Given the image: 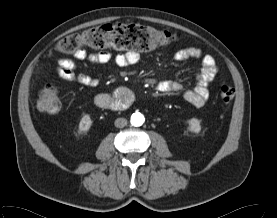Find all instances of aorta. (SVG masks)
<instances>
[{
    "label": "aorta",
    "instance_id": "aorta-1",
    "mask_svg": "<svg viewBox=\"0 0 277 218\" xmlns=\"http://www.w3.org/2000/svg\"><path fill=\"white\" fill-rule=\"evenodd\" d=\"M144 120V116L141 113L136 112L132 114L130 122L133 126H141L144 123Z\"/></svg>",
    "mask_w": 277,
    "mask_h": 218
}]
</instances>
